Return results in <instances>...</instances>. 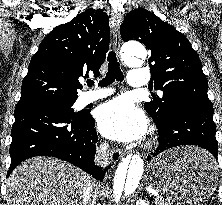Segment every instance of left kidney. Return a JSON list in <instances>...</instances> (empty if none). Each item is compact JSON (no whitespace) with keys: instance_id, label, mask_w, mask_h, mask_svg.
<instances>
[{"instance_id":"left-kidney-1","label":"left kidney","mask_w":222,"mask_h":205,"mask_svg":"<svg viewBox=\"0 0 222 205\" xmlns=\"http://www.w3.org/2000/svg\"><path fill=\"white\" fill-rule=\"evenodd\" d=\"M136 205H149V203L146 202V200L139 199V200L136 202Z\"/></svg>"}]
</instances>
